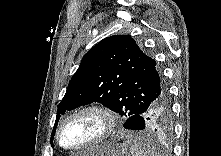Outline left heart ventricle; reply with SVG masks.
<instances>
[{
    "mask_svg": "<svg viewBox=\"0 0 221 156\" xmlns=\"http://www.w3.org/2000/svg\"><path fill=\"white\" fill-rule=\"evenodd\" d=\"M103 128L102 120L95 114H82L69 120L61 133L67 147L84 145L96 138Z\"/></svg>",
    "mask_w": 221,
    "mask_h": 156,
    "instance_id": "1",
    "label": "left heart ventricle"
}]
</instances>
